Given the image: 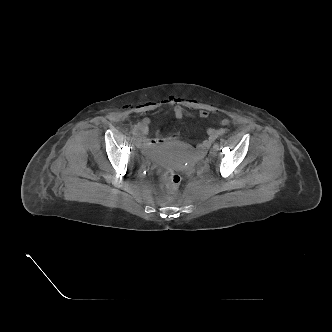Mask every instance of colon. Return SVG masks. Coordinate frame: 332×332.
<instances>
[{"instance_id":"1","label":"colon","mask_w":332,"mask_h":332,"mask_svg":"<svg viewBox=\"0 0 332 332\" xmlns=\"http://www.w3.org/2000/svg\"><path fill=\"white\" fill-rule=\"evenodd\" d=\"M159 178L162 184L171 191L176 190L181 182L180 175L172 170L161 171L159 173Z\"/></svg>"}]
</instances>
